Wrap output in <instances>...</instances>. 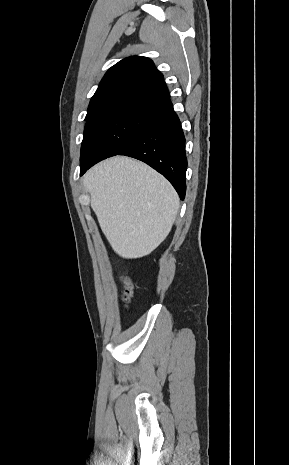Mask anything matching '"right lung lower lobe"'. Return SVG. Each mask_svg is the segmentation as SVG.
I'll list each match as a JSON object with an SVG mask.
<instances>
[{
  "mask_svg": "<svg viewBox=\"0 0 289 465\" xmlns=\"http://www.w3.org/2000/svg\"><path fill=\"white\" fill-rule=\"evenodd\" d=\"M163 112L117 155L139 159L164 175L185 198L187 158L185 137L173 105L168 101ZM101 160L81 162L80 175Z\"/></svg>",
  "mask_w": 289,
  "mask_h": 465,
  "instance_id": "obj_1",
  "label": "right lung lower lobe"
}]
</instances>
